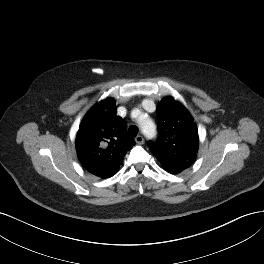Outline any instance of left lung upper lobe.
Segmentation results:
<instances>
[{"instance_id":"left-lung-upper-lobe-1","label":"left lung upper lobe","mask_w":264,"mask_h":264,"mask_svg":"<svg viewBox=\"0 0 264 264\" xmlns=\"http://www.w3.org/2000/svg\"><path fill=\"white\" fill-rule=\"evenodd\" d=\"M156 111L159 137L149 148L167 172L177 174L197 157L198 130L188 110L171 97L159 102Z\"/></svg>"}]
</instances>
